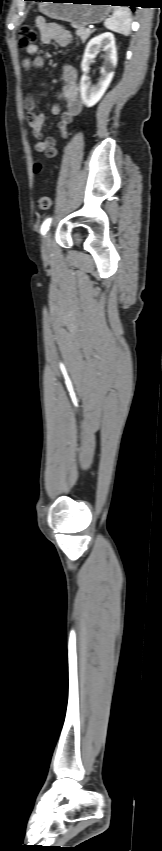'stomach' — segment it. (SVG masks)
Wrapping results in <instances>:
<instances>
[{"mask_svg":"<svg viewBox=\"0 0 162 851\" xmlns=\"http://www.w3.org/2000/svg\"><path fill=\"white\" fill-rule=\"evenodd\" d=\"M45 1L47 0H42L38 5L41 13L52 19L67 21L79 27L100 23L111 10L110 6L102 5L106 3V0Z\"/></svg>","mask_w":162,"mask_h":851,"instance_id":"stomach-1","label":"stomach"}]
</instances>
